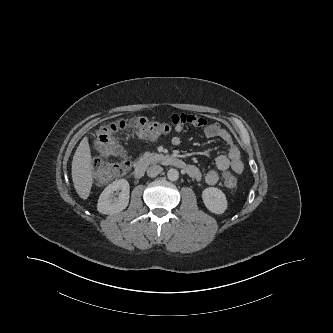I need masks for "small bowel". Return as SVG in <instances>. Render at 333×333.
Masks as SVG:
<instances>
[{"label":"small bowel","instance_id":"c3829d8e","mask_svg":"<svg viewBox=\"0 0 333 333\" xmlns=\"http://www.w3.org/2000/svg\"><path fill=\"white\" fill-rule=\"evenodd\" d=\"M171 120L174 124L175 131L182 133L186 124L194 127H200L204 131L207 138H218L227 146V152L220 154L215 159V168L208 170L205 174L194 165H190L188 174L195 180H204L209 185H214L218 182L220 174L228 170L234 173H241L244 164L240 157V151L233 140L231 134L217 123L209 122L206 118L197 117L189 114H173ZM172 144L177 146L181 143L179 136L172 137Z\"/></svg>","mask_w":333,"mask_h":333}]
</instances>
